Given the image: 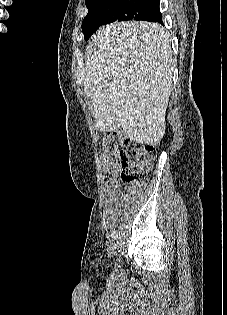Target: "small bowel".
Here are the masks:
<instances>
[{
    "mask_svg": "<svg viewBox=\"0 0 227 315\" xmlns=\"http://www.w3.org/2000/svg\"><path fill=\"white\" fill-rule=\"evenodd\" d=\"M107 206L106 223L112 226L121 216L122 212L136 199L139 190L132 187L128 188L127 194H121L117 190V185L106 188Z\"/></svg>",
    "mask_w": 227,
    "mask_h": 315,
    "instance_id": "obj_1",
    "label": "small bowel"
}]
</instances>
